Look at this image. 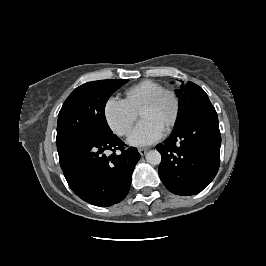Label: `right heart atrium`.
Segmentation results:
<instances>
[{"label": "right heart atrium", "mask_w": 266, "mask_h": 266, "mask_svg": "<svg viewBox=\"0 0 266 266\" xmlns=\"http://www.w3.org/2000/svg\"><path fill=\"white\" fill-rule=\"evenodd\" d=\"M104 117L115 134L125 136L131 131L138 112L126 100L110 97L104 105Z\"/></svg>", "instance_id": "obj_1"}]
</instances>
